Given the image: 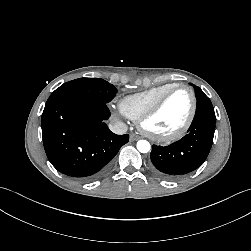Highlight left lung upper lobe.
I'll return each mask as SVG.
<instances>
[{"label": "left lung upper lobe", "mask_w": 251, "mask_h": 251, "mask_svg": "<svg viewBox=\"0 0 251 251\" xmlns=\"http://www.w3.org/2000/svg\"><path fill=\"white\" fill-rule=\"evenodd\" d=\"M195 94L197 98V107H196V113L201 114H210V115H215L214 108L212 106V103L210 99L205 95V93L198 87L195 86Z\"/></svg>", "instance_id": "1"}]
</instances>
